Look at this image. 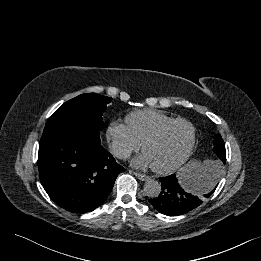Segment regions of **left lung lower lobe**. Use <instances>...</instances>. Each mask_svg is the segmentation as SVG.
<instances>
[{"label":"left lung lower lobe","instance_id":"1","mask_svg":"<svg viewBox=\"0 0 261 261\" xmlns=\"http://www.w3.org/2000/svg\"><path fill=\"white\" fill-rule=\"evenodd\" d=\"M221 166V163L215 162L202 167L195 175L189 188L181 185L180 175L172 174L162 177L160 178L162 187L160 195L149 200V202L164 215L177 216L185 214L202 204L215 191Z\"/></svg>","mask_w":261,"mask_h":261}]
</instances>
